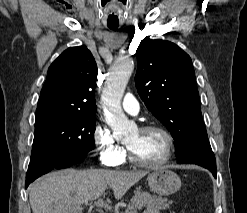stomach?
Masks as SVG:
<instances>
[{
	"instance_id": "stomach-1",
	"label": "stomach",
	"mask_w": 247,
	"mask_h": 213,
	"mask_svg": "<svg viewBox=\"0 0 247 213\" xmlns=\"http://www.w3.org/2000/svg\"><path fill=\"white\" fill-rule=\"evenodd\" d=\"M148 185L153 192L161 196H169L180 189L181 180L175 172L160 168L149 174Z\"/></svg>"
}]
</instances>
